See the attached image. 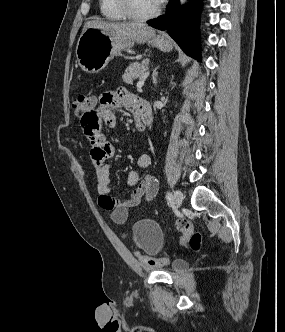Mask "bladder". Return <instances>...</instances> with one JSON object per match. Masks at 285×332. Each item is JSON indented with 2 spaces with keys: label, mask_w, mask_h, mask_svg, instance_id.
Instances as JSON below:
<instances>
[{
  "label": "bladder",
  "mask_w": 285,
  "mask_h": 332,
  "mask_svg": "<svg viewBox=\"0 0 285 332\" xmlns=\"http://www.w3.org/2000/svg\"><path fill=\"white\" fill-rule=\"evenodd\" d=\"M162 240V229L153 220H140L133 226L132 244L137 251L145 254H153L161 247ZM186 268L187 263L182 260H175L171 264V270L174 272H181Z\"/></svg>",
  "instance_id": "bladder-1"
}]
</instances>
